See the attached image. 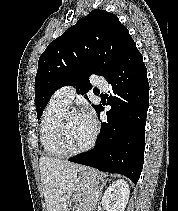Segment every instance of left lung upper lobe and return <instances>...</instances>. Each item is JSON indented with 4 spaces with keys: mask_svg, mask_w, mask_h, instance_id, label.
Instances as JSON below:
<instances>
[{
    "mask_svg": "<svg viewBox=\"0 0 178 211\" xmlns=\"http://www.w3.org/2000/svg\"><path fill=\"white\" fill-rule=\"evenodd\" d=\"M135 43L119 19L104 10H93L42 53L35 77L37 118L52 94L66 85L82 93L92 74L105 78L124 60ZM97 110L99 105H93Z\"/></svg>",
    "mask_w": 178,
    "mask_h": 211,
    "instance_id": "left-lung-upper-lobe-1",
    "label": "left lung upper lobe"
}]
</instances>
